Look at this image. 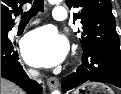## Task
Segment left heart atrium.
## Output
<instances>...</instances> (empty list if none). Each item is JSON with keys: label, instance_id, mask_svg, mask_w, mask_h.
I'll return each mask as SVG.
<instances>
[{"label": "left heart atrium", "instance_id": "1", "mask_svg": "<svg viewBox=\"0 0 121 94\" xmlns=\"http://www.w3.org/2000/svg\"><path fill=\"white\" fill-rule=\"evenodd\" d=\"M68 44L52 26L36 29L23 40L22 52L25 60L38 67H52L66 57Z\"/></svg>", "mask_w": 121, "mask_h": 94}]
</instances>
